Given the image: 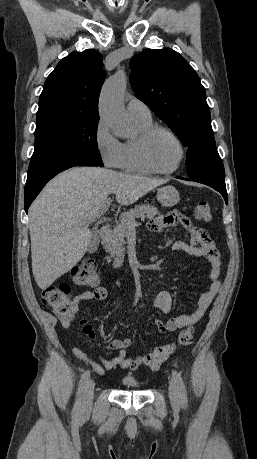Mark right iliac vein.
Segmentation results:
<instances>
[{
	"instance_id": "1",
	"label": "right iliac vein",
	"mask_w": 257,
	"mask_h": 459,
	"mask_svg": "<svg viewBox=\"0 0 257 459\" xmlns=\"http://www.w3.org/2000/svg\"><path fill=\"white\" fill-rule=\"evenodd\" d=\"M94 387H95V382L93 380H89L84 387L83 408L85 410L90 408V406L92 405Z\"/></svg>"
}]
</instances>
